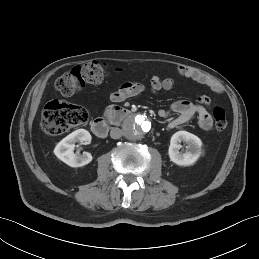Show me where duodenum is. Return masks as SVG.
<instances>
[{"label":"duodenum","instance_id":"obj_1","mask_svg":"<svg viewBox=\"0 0 259 259\" xmlns=\"http://www.w3.org/2000/svg\"><path fill=\"white\" fill-rule=\"evenodd\" d=\"M131 112L119 106H109L106 111V118H96L91 123L92 132L100 138L105 137L109 131V122L117 121L121 117L130 116Z\"/></svg>","mask_w":259,"mask_h":259}]
</instances>
